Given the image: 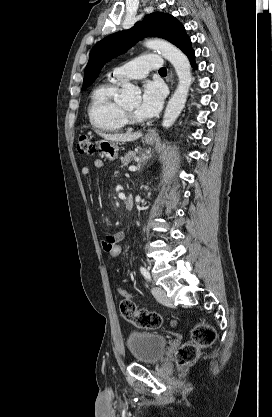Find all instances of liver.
Returning <instances> with one entry per match:
<instances>
[{
	"mask_svg": "<svg viewBox=\"0 0 272 417\" xmlns=\"http://www.w3.org/2000/svg\"><path fill=\"white\" fill-rule=\"evenodd\" d=\"M97 133L103 137L105 140L114 141V142H131L134 141L142 136L141 132L137 133H125V134H108V133H102L97 131Z\"/></svg>",
	"mask_w": 272,
	"mask_h": 417,
	"instance_id": "1",
	"label": "liver"
}]
</instances>
